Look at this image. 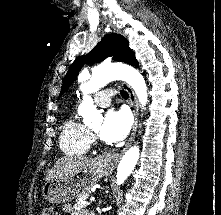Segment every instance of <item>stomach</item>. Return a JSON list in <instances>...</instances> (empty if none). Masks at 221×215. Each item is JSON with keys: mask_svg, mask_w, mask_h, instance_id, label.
I'll return each mask as SVG.
<instances>
[{"mask_svg": "<svg viewBox=\"0 0 221 215\" xmlns=\"http://www.w3.org/2000/svg\"><path fill=\"white\" fill-rule=\"evenodd\" d=\"M108 172L109 168L97 160L90 167L72 177L54 178L46 181L42 188V195L53 204L70 202L89 193L93 186Z\"/></svg>", "mask_w": 221, "mask_h": 215, "instance_id": "stomach-1", "label": "stomach"}]
</instances>
